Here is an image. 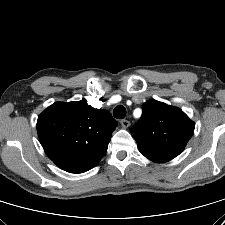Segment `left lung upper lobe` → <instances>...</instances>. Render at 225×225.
<instances>
[{
    "label": "left lung upper lobe",
    "mask_w": 225,
    "mask_h": 225,
    "mask_svg": "<svg viewBox=\"0 0 225 225\" xmlns=\"http://www.w3.org/2000/svg\"><path fill=\"white\" fill-rule=\"evenodd\" d=\"M142 107L141 121L131 129L139 151L153 162L172 160L193 135L194 122L179 108L154 99Z\"/></svg>",
    "instance_id": "5c2ea615"
}]
</instances>
